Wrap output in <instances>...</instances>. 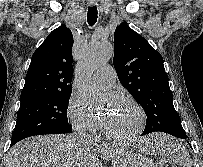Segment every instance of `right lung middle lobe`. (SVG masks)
<instances>
[{
	"label": "right lung middle lobe",
	"instance_id": "right-lung-middle-lobe-1",
	"mask_svg": "<svg viewBox=\"0 0 203 167\" xmlns=\"http://www.w3.org/2000/svg\"><path fill=\"white\" fill-rule=\"evenodd\" d=\"M70 95L59 93L21 101L11 143L34 135L71 132L67 119Z\"/></svg>",
	"mask_w": 203,
	"mask_h": 167
}]
</instances>
